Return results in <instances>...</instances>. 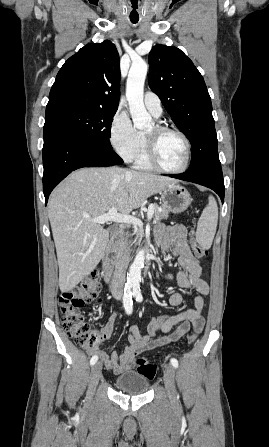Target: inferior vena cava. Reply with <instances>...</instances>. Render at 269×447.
Masks as SVG:
<instances>
[{
	"label": "inferior vena cava",
	"mask_w": 269,
	"mask_h": 447,
	"mask_svg": "<svg viewBox=\"0 0 269 447\" xmlns=\"http://www.w3.org/2000/svg\"><path fill=\"white\" fill-rule=\"evenodd\" d=\"M129 251L130 249H125L123 255H121L120 259H118L115 265L113 279L110 283V289L113 295L114 293H122L123 291L126 269L130 261Z\"/></svg>",
	"instance_id": "obj_1"
}]
</instances>
